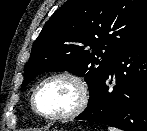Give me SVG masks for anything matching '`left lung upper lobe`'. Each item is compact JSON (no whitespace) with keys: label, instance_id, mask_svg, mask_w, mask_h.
I'll return each mask as SVG.
<instances>
[{"label":"left lung upper lobe","instance_id":"5c2ea615","mask_svg":"<svg viewBox=\"0 0 147 131\" xmlns=\"http://www.w3.org/2000/svg\"><path fill=\"white\" fill-rule=\"evenodd\" d=\"M147 33V0H69L46 22L24 70L22 88L38 74L84 76L89 102L121 50Z\"/></svg>","mask_w":147,"mask_h":131}]
</instances>
